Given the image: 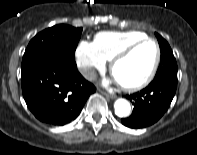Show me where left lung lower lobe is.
Masks as SVG:
<instances>
[{"instance_id":"obj_1","label":"left lung lower lobe","mask_w":197,"mask_h":155,"mask_svg":"<svg viewBox=\"0 0 197 155\" xmlns=\"http://www.w3.org/2000/svg\"><path fill=\"white\" fill-rule=\"evenodd\" d=\"M176 87L177 77L163 75L140 92L128 95L134 109L130 117L121 119L122 124L137 129L157 122L170 106Z\"/></svg>"}]
</instances>
